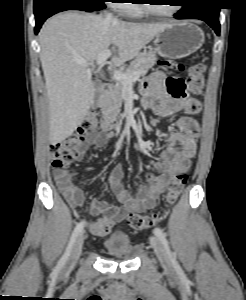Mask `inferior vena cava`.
I'll list each match as a JSON object with an SVG mask.
<instances>
[{
  "instance_id": "inferior-vena-cava-1",
  "label": "inferior vena cava",
  "mask_w": 246,
  "mask_h": 300,
  "mask_svg": "<svg viewBox=\"0 0 246 300\" xmlns=\"http://www.w3.org/2000/svg\"><path fill=\"white\" fill-rule=\"evenodd\" d=\"M106 18L108 20H114V21L117 20L116 18L113 17V15L111 13H106Z\"/></svg>"
}]
</instances>
